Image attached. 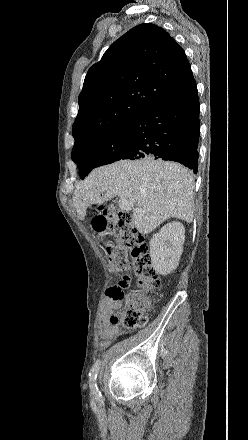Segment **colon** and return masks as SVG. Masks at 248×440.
I'll return each instance as SVG.
<instances>
[{"label": "colon", "instance_id": "5ec220e1", "mask_svg": "<svg viewBox=\"0 0 248 440\" xmlns=\"http://www.w3.org/2000/svg\"><path fill=\"white\" fill-rule=\"evenodd\" d=\"M95 218H106L108 232L115 237V242L106 246L109 269L113 272L133 270L139 283V290L126 293L129 278L123 276L117 284L106 289V301L114 309H122L121 319L125 328L143 327L153 309L151 294L161 286L152 266L148 246L132 224L131 215L120 211L117 206L110 204L102 207ZM109 321L117 325L119 318L112 314Z\"/></svg>", "mask_w": 248, "mask_h": 440}]
</instances>
